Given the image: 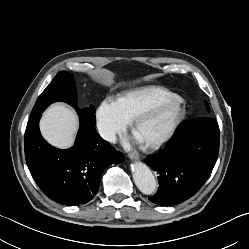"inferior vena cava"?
Returning <instances> with one entry per match:
<instances>
[{"label": "inferior vena cava", "mask_w": 249, "mask_h": 249, "mask_svg": "<svg viewBox=\"0 0 249 249\" xmlns=\"http://www.w3.org/2000/svg\"><path fill=\"white\" fill-rule=\"evenodd\" d=\"M99 133L101 137L111 143L116 142V133L114 130L106 128V127H101L99 129Z\"/></svg>", "instance_id": "1"}]
</instances>
